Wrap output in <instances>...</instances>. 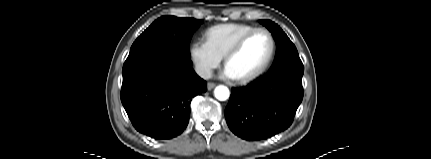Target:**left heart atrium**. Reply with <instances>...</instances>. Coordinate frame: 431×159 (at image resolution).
<instances>
[{
  "instance_id": "1",
  "label": "left heart atrium",
  "mask_w": 431,
  "mask_h": 159,
  "mask_svg": "<svg viewBox=\"0 0 431 159\" xmlns=\"http://www.w3.org/2000/svg\"><path fill=\"white\" fill-rule=\"evenodd\" d=\"M223 76L226 78L235 79V76L227 67L224 69Z\"/></svg>"
}]
</instances>
